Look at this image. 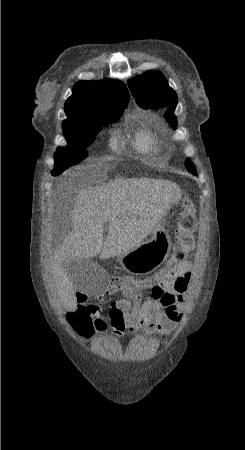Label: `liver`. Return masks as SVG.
I'll use <instances>...</instances> for the list:
<instances>
[{
    "instance_id": "liver-1",
    "label": "liver",
    "mask_w": 245,
    "mask_h": 450,
    "mask_svg": "<svg viewBox=\"0 0 245 450\" xmlns=\"http://www.w3.org/2000/svg\"><path fill=\"white\" fill-rule=\"evenodd\" d=\"M181 195L176 183L161 179L117 178L81 188L70 216L73 230L51 261L53 279L65 307L70 311L77 308L68 262L99 254L101 259L127 254L151 234ZM106 222L108 234L104 240Z\"/></svg>"
}]
</instances>
